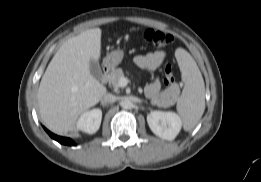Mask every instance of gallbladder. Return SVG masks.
Listing matches in <instances>:
<instances>
[{
    "label": "gallbladder",
    "mask_w": 261,
    "mask_h": 182,
    "mask_svg": "<svg viewBox=\"0 0 261 182\" xmlns=\"http://www.w3.org/2000/svg\"><path fill=\"white\" fill-rule=\"evenodd\" d=\"M90 74L96 79L100 80L102 76V71L99 66V63L92 60L90 61V66H89Z\"/></svg>",
    "instance_id": "gallbladder-1"
}]
</instances>
